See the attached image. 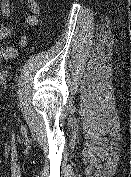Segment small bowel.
Wrapping results in <instances>:
<instances>
[{
	"mask_svg": "<svg viewBox=\"0 0 131 177\" xmlns=\"http://www.w3.org/2000/svg\"><path fill=\"white\" fill-rule=\"evenodd\" d=\"M30 13L26 17V23L29 26H36L39 22V15L41 12L38 0H26ZM0 12L5 18H8L11 13L9 0H0ZM15 37V32L12 28L7 26L0 27V41L5 39H12ZM16 50L11 46L0 47V61L3 59H11L16 56Z\"/></svg>",
	"mask_w": 131,
	"mask_h": 177,
	"instance_id": "c3829d8e",
	"label": "small bowel"
}]
</instances>
